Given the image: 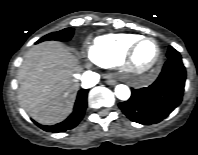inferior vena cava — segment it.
<instances>
[{"mask_svg": "<svg viewBox=\"0 0 198 155\" xmlns=\"http://www.w3.org/2000/svg\"><path fill=\"white\" fill-rule=\"evenodd\" d=\"M99 79V74L92 71H86L81 76L82 84L86 87H92L96 85L99 82Z\"/></svg>", "mask_w": 198, "mask_h": 155, "instance_id": "1", "label": "inferior vena cava"}]
</instances>
